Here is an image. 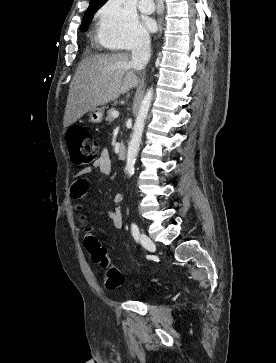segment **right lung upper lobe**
<instances>
[{"label": "right lung upper lobe", "mask_w": 276, "mask_h": 363, "mask_svg": "<svg viewBox=\"0 0 276 363\" xmlns=\"http://www.w3.org/2000/svg\"><path fill=\"white\" fill-rule=\"evenodd\" d=\"M105 1L106 0H91L89 6L97 4L101 6L102 4H104Z\"/></svg>", "instance_id": "cb5924a9"}]
</instances>
